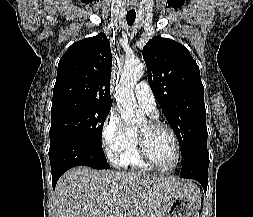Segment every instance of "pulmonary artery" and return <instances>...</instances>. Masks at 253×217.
<instances>
[{"label":"pulmonary artery","mask_w":253,"mask_h":217,"mask_svg":"<svg viewBox=\"0 0 253 217\" xmlns=\"http://www.w3.org/2000/svg\"><path fill=\"white\" fill-rule=\"evenodd\" d=\"M135 97L141 107L151 116L157 115L156 100L150 86L141 82L134 89Z\"/></svg>","instance_id":"pulmonary-artery-1"}]
</instances>
